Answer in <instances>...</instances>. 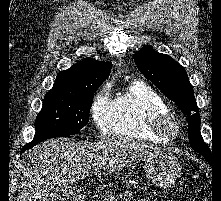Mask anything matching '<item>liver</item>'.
Returning <instances> with one entry per match:
<instances>
[{"label":"liver","instance_id":"1","mask_svg":"<svg viewBox=\"0 0 221 201\" xmlns=\"http://www.w3.org/2000/svg\"><path fill=\"white\" fill-rule=\"evenodd\" d=\"M162 151L171 150L125 137L45 141L23 156L17 201H64L68 185L85 179L95 168L116 172Z\"/></svg>","mask_w":221,"mask_h":201}]
</instances>
